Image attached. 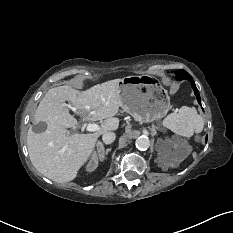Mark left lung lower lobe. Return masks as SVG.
Returning a JSON list of instances; mask_svg holds the SVG:
<instances>
[{
    "label": "left lung lower lobe",
    "instance_id": "left-lung-lower-lobe-1",
    "mask_svg": "<svg viewBox=\"0 0 233 233\" xmlns=\"http://www.w3.org/2000/svg\"><path fill=\"white\" fill-rule=\"evenodd\" d=\"M176 78H177V76H176ZM177 79H178V80L187 79V80L190 81L191 86H192V88H193V90H194V93H195V95H196V97H197V101H198L199 104H201V99H200L199 91H198V89L196 88L195 82H194V80L192 79L191 75H190L189 73H185L184 75H182L181 77H179V78H177ZM206 140H207V137H206Z\"/></svg>",
    "mask_w": 233,
    "mask_h": 233
}]
</instances>
